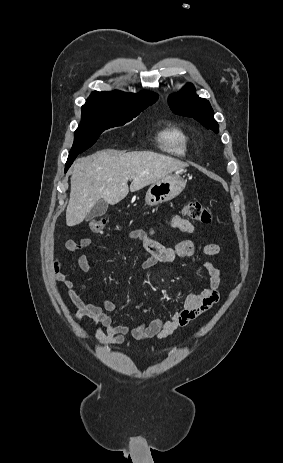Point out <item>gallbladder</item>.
Segmentation results:
<instances>
[{
  "label": "gallbladder",
  "mask_w": 283,
  "mask_h": 463,
  "mask_svg": "<svg viewBox=\"0 0 283 463\" xmlns=\"http://www.w3.org/2000/svg\"><path fill=\"white\" fill-rule=\"evenodd\" d=\"M108 205V202L103 199L97 201L90 212L87 214L86 220L89 221L95 217L104 215L108 210Z\"/></svg>",
  "instance_id": "1"
}]
</instances>
